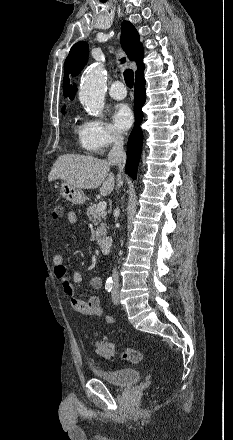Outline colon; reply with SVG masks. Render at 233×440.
Wrapping results in <instances>:
<instances>
[{"instance_id": "5ec220e1", "label": "colon", "mask_w": 233, "mask_h": 440, "mask_svg": "<svg viewBox=\"0 0 233 440\" xmlns=\"http://www.w3.org/2000/svg\"><path fill=\"white\" fill-rule=\"evenodd\" d=\"M63 215V205L56 202L52 208V217L59 219ZM97 354L105 359H113L116 356L117 349L114 343L107 340H99L95 344ZM120 358L125 361L137 363L142 359V353L139 350L124 348L119 354Z\"/></svg>"}]
</instances>
